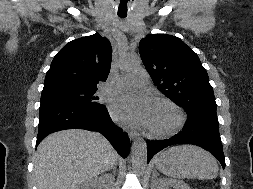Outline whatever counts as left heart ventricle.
Returning <instances> with one entry per match:
<instances>
[{
	"label": "left heart ventricle",
	"instance_id": "b2bd125f",
	"mask_svg": "<svg viewBox=\"0 0 253 189\" xmlns=\"http://www.w3.org/2000/svg\"><path fill=\"white\" fill-rule=\"evenodd\" d=\"M174 120V113L165 106H154L150 123V127L162 129L168 127Z\"/></svg>",
	"mask_w": 253,
	"mask_h": 189
}]
</instances>
